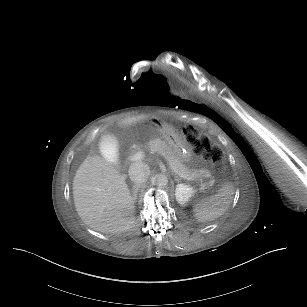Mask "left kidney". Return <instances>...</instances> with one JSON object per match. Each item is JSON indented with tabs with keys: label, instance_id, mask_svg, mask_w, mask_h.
I'll list each match as a JSON object with an SVG mask.
<instances>
[{
	"label": "left kidney",
	"instance_id": "obj_1",
	"mask_svg": "<svg viewBox=\"0 0 307 307\" xmlns=\"http://www.w3.org/2000/svg\"><path fill=\"white\" fill-rule=\"evenodd\" d=\"M192 193H193L192 188L184 184L177 185V188L175 191L176 199L180 204H184L188 200V198L191 196Z\"/></svg>",
	"mask_w": 307,
	"mask_h": 307
}]
</instances>
